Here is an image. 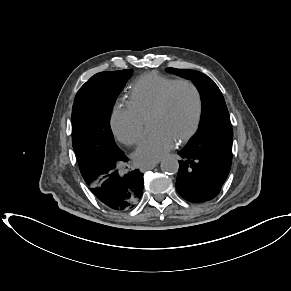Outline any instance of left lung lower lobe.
I'll return each instance as SVG.
<instances>
[{"mask_svg": "<svg viewBox=\"0 0 291 291\" xmlns=\"http://www.w3.org/2000/svg\"><path fill=\"white\" fill-rule=\"evenodd\" d=\"M179 155L176 190L186 201L203 203L214 199L229 174L232 160L183 148Z\"/></svg>", "mask_w": 291, "mask_h": 291, "instance_id": "1", "label": "left lung lower lobe"}]
</instances>
